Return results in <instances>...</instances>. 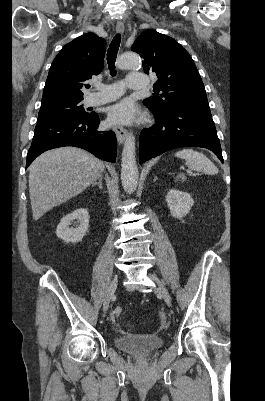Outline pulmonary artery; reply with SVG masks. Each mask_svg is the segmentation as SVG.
Returning a JSON list of instances; mask_svg holds the SVG:
<instances>
[{
  "mask_svg": "<svg viewBox=\"0 0 265 401\" xmlns=\"http://www.w3.org/2000/svg\"><path fill=\"white\" fill-rule=\"evenodd\" d=\"M146 78L143 72H131L128 77L129 90H143L146 87ZM123 84L120 81H108L99 95L89 97V102L94 105L105 104L116 100L123 94Z\"/></svg>",
  "mask_w": 265,
  "mask_h": 401,
  "instance_id": "obj_1",
  "label": "pulmonary artery"
}]
</instances>
